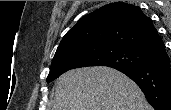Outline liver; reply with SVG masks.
<instances>
[{
	"label": "liver",
	"mask_w": 171,
	"mask_h": 110,
	"mask_svg": "<svg viewBox=\"0 0 171 110\" xmlns=\"http://www.w3.org/2000/svg\"><path fill=\"white\" fill-rule=\"evenodd\" d=\"M52 110H152L140 88L103 66L73 69L56 81Z\"/></svg>",
	"instance_id": "liver-1"
}]
</instances>
